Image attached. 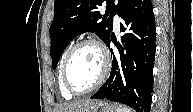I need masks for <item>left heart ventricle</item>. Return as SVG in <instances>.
<instances>
[{
  "label": "left heart ventricle",
  "mask_w": 193,
  "mask_h": 112,
  "mask_svg": "<svg viewBox=\"0 0 193 112\" xmlns=\"http://www.w3.org/2000/svg\"><path fill=\"white\" fill-rule=\"evenodd\" d=\"M101 55L92 45L79 48L72 56L68 66V78L77 91L91 87L101 71Z\"/></svg>",
  "instance_id": "1"
}]
</instances>
